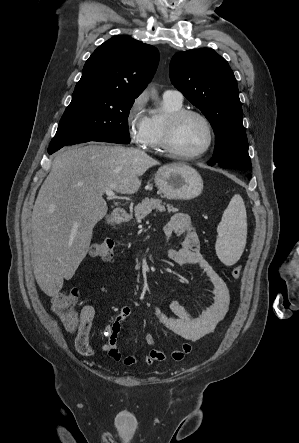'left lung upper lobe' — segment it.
Here are the masks:
<instances>
[{"instance_id":"5c2ea615","label":"left lung upper lobe","mask_w":299,"mask_h":443,"mask_svg":"<svg viewBox=\"0 0 299 443\" xmlns=\"http://www.w3.org/2000/svg\"><path fill=\"white\" fill-rule=\"evenodd\" d=\"M170 79L211 123L216 145L209 163L252 169L237 81L227 61L210 48L179 52L171 60Z\"/></svg>"}]
</instances>
